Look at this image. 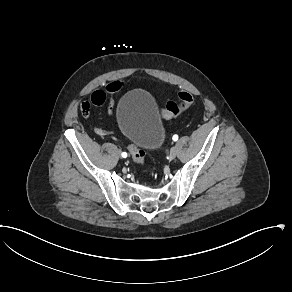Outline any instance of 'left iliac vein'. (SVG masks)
<instances>
[{
	"label": "left iliac vein",
	"mask_w": 292,
	"mask_h": 292,
	"mask_svg": "<svg viewBox=\"0 0 292 292\" xmlns=\"http://www.w3.org/2000/svg\"><path fill=\"white\" fill-rule=\"evenodd\" d=\"M177 155V148L176 147H172L171 150H170V154H169V158L171 160L175 159Z\"/></svg>",
	"instance_id": "4c4485c4"
}]
</instances>
